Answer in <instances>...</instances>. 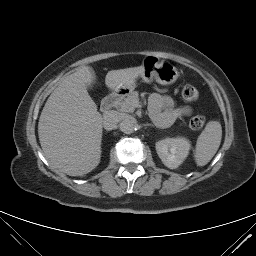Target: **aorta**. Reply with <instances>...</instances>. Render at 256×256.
<instances>
[{"label": "aorta", "mask_w": 256, "mask_h": 256, "mask_svg": "<svg viewBox=\"0 0 256 256\" xmlns=\"http://www.w3.org/2000/svg\"><path fill=\"white\" fill-rule=\"evenodd\" d=\"M135 124L133 121L131 120H123L120 125L119 128L120 130L125 133V134H131L134 132L135 130Z\"/></svg>", "instance_id": "1"}]
</instances>
